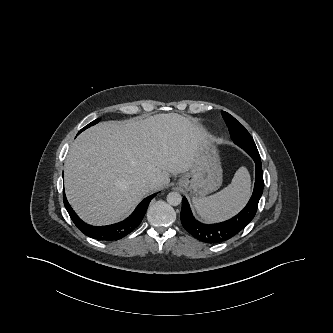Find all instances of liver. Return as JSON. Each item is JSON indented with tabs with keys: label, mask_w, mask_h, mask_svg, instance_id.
Instances as JSON below:
<instances>
[{
	"label": "liver",
	"mask_w": 333,
	"mask_h": 333,
	"mask_svg": "<svg viewBox=\"0 0 333 333\" xmlns=\"http://www.w3.org/2000/svg\"><path fill=\"white\" fill-rule=\"evenodd\" d=\"M206 142L203 128L177 113L101 122L69 149L64 169L68 201L89 224L120 221L146 194L168 185V173L189 171ZM150 180L156 183L149 185Z\"/></svg>",
	"instance_id": "1"
}]
</instances>
